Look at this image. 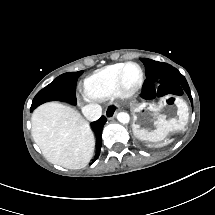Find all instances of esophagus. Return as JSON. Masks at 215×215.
<instances>
[{"instance_id":"34e87169","label":"esophagus","mask_w":215,"mask_h":215,"mask_svg":"<svg viewBox=\"0 0 215 215\" xmlns=\"http://www.w3.org/2000/svg\"><path fill=\"white\" fill-rule=\"evenodd\" d=\"M118 108L119 105L116 102H112L111 104L108 105L104 113L108 120H111L115 117Z\"/></svg>"}]
</instances>
